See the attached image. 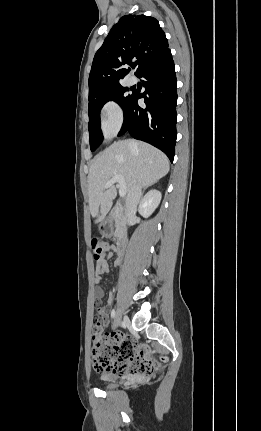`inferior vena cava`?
Instances as JSON below:
<instances>
[{
  "mask_svg": "<svg viewBox=\"0 0 261 431\" xmlns=\"http://www.w3.org/2000/svg\"><path fill=\"white\" fill-rule=\"evenodd\" d=\"M141 197H142V186L138 182L134 185L133 189L128 193L126 198L125 213H126V219L129 225L132 224V221L135 217L137 206L141 200Z\"/></svg>",
  "mask_w": 261,
  "mask_h": 431,
  "instance_id": "obj_1",
  "label": "inferior vena cava"
}]
</instances>
